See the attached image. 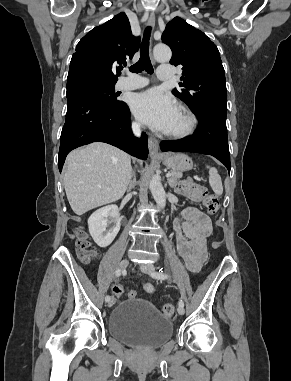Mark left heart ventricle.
Here are the masks:
<instances>
[{
  "mask_svg": "<svg viewBox=\"0 0 291 381\" xmlns=\"http://www.w3.org/2000/svg\"><path fill=\"white\" fill-rule=\"evenodd\" d=\"M186 124V119L184 115L179 111L173 124L168 131H176L182 129Z\"/></svg>",
  "mask_w": 291,
  "mask_h": 381,
  "instance_id": "obj_1",
  "label": "left heart ventricle"
}]
</instances>
